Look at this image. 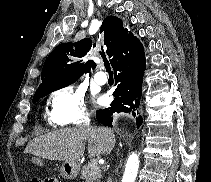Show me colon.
<instances>
[{"label": "colon", "instance_id": "1", "mask_svg": "<svg viewBox=\"0 0 211 182\" xmlns=\"http://www.w3.org/2000/svg\"><path fill=\"white\" fill-rule=\"evenodd\" d=\"M34 182H61V181L56 177H48L44 180H36Z\"/></svg>", "mask_w": 211, "mask_h": 182}]
</instances>
